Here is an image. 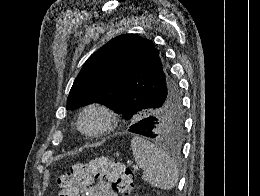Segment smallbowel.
Masks as SVG:
<instances>
[{
	"label": "small bowel",
	"mask_w": 260,
	"mask_h": 196,
	"mask_svg": "<svg viewBox=\"0 0 260 196\" xmlns=\"http://www.w3.org/2000/svg\"><path fill=\"white\" fill-rule=\"evenodd\" d=\"M84 192V196H116V192L113 191L111 184L105 180H98L87 186Z\"/></svg>",
	"instance_id": "obj_1"
}]
</instances>
